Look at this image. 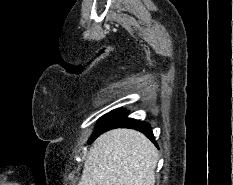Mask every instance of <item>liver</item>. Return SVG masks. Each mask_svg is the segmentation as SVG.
<instances>
[{"label":"liver","mask_w":233,"mask_h":185,"mask_svg":"<svg viewBox=\"0 0 233 185\" xmlns=\"http://www.w3.org/2000/svg\"><path fill=\"white\" fill-rule=\"evenodd\" d=\"M158 151L142 133L114 129L89 149L78 185H154Z\"/></svg>","instance_id":"liver-1"}]
</instances>
